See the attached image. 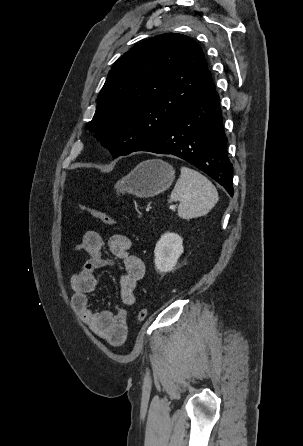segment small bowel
Segmentation results:
<instances>
[{"label":"small bowel","mask_w":303,"mask_h":446,"mask_svg":"<svg viewBox=\"0 0 303 446\" xmlns=\"http://www.w3.org/2000/svg\"><path fill=\"white\" fill-rule=\"evenodd\" d=\"M108 249L115 259L122 260L123 274L120 277V300L123 308L117 313L109 309L96 310L90 301L98 281L95 271L115 265L114 259L104 253V240L94 230H88L75 246L78 254L85 255V261L70 279L73 290L72 305L84 324L99 338L115 347L122 346L128 335L126 309L135 304V290L144 278L146 267L143 260L130 253L131 241L122 234H115L108 240Z\"/></svg>","instance_id":"obj_1"}]
</instances>
